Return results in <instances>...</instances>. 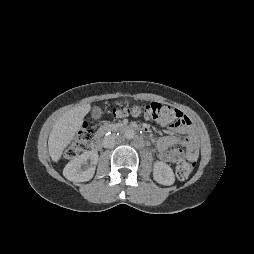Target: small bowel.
<instances>
[{"label":"small bowel","mask_w":254,"mask_h":254,"mask_svg":"<svg viewBox=\"0 0 254 254\" xmlns=\"http://www.w3.org/2000/svg\"><path fill=\"white\" fill-rule=\"evenodd\" d=\"M172 130L187 134V136L185 138L175 136L161 137L157 142L160 159L166 162H176L186 156L190 160H195L198 156V145L196 138L192 134L191 123L187 126H173ZM175 145H179L183 149H171Z\"/></svg>","instance_id":"obj_1"}]
</instances>
